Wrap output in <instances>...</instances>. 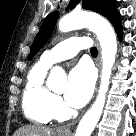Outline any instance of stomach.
<instances>
[{"label": "stomach", "instance_id": "obj_1", "mask_svg": "<svg viewBox=\"0 0 136 136\" xmlns=\"http://www.w3.org/2000/svg\"><path fill=\"white\" fill-rule=\"evenodd\" d=\"M58 136H69V134H58Z\"/></svg>", "mask_w": 136, "mask_h": 136}]
</instances>
